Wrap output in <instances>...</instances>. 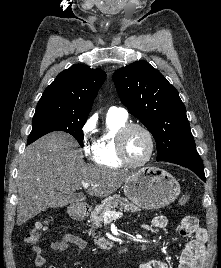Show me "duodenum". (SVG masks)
I'll return each instance as SVG.
<instances>
[{
  "label": "duodenum",
  "instance_id": "1",
  "mask_svg": "<svg viewBox=\"0 0 221 268\" xmlns=\"http://www.w3.org/2000/svg\"><path fill=\"white\" fill-rule=\"evenodd\" d=\"M71 216L76 220H82L88 215V208L84 206L73 207L70 211Z\"/></svg>",
  "mask_w": 221,
  "mask_h": 268
}]
</instances>
